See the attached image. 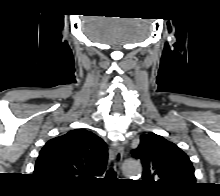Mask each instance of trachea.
<instances>
[{
  "instance_id": "1",
  "label": "trachea",
  "mask_w": 220,
  "mask_h": 196,
  "mask_svg": "<svg viewBox=\"0 0 220 196\" xmlns=\"http://www.w3.org/2000/svg\"><path fill=\"white\" fill-rule=\"evenodd\" d=\"M116 177V173L114 172V170L111 168L108 172H107V178L108 179H114Z\"/></svg>"
}]
</instances>
